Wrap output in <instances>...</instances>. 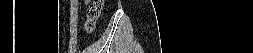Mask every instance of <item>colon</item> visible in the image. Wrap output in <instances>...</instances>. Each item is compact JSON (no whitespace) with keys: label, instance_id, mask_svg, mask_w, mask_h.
<instances>
[{"label":"colon","instance_id":"colon-1","mask_svg":"<svg viewBox=\"0 0 253 53\" xmlns=\"http://www.w3.org/2000/svg\"><path fill=\"white\" fill-rule=\"evenodd\" d=\"M103 0H92L90 5L86 10V20L84 23V30L86 33H92L96 21L100 17L102 7H103Z\"/></svg>","mask_w":253,"mask_h":53}]
</instances>
